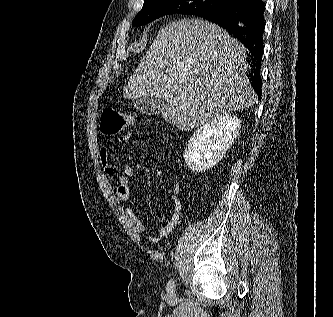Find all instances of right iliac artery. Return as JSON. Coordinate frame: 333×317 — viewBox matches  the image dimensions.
I'll use <instances>...</instances> for the list:
<instances>
[{
  "label": "right iliac artery",
  "mask_w": 333,
  "mask_h": 317,
  "mask_svg": "<svg viewBox=\"0 0 333 317\" xmlns=\"http://www.w3.org/2000/svg\"><path fill=\"white\" fill-rule=\"evenodd\" d=\"M175 288V283L173 280H170L167 284V291L168 292H173Z\"/></svg>",
  "instance_id": "obj_1"
}]
</instances>
